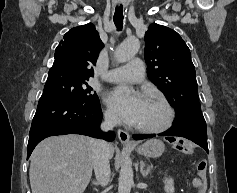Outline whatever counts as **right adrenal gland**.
Listing matches in <instances>:
<instances>
[{"label": "right adrenal gland", "mask_w": 237, "mask_h": 193, "mask_svg": "<svg viewBox=\"0 0 237 193\" xmlns=\"http://www.w3.org/2000/svg\"><path fill=\"white\" fill-rule=\"evenodd\" d=\"M92 184L95 185V186H98V185H99V182L96 181V180H93V181H92Z\"/></svg>", "instance_id": "2a0ac1e0"}]
</instances>
